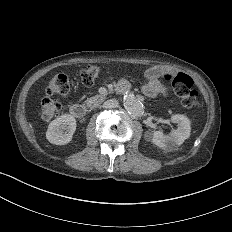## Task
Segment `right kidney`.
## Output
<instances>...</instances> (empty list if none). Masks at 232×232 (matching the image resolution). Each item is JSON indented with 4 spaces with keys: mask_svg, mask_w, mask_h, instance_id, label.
Returning <instances> with one entry per match:
<instances>
[{
    "mask_svg": "<svg viewBox=\"0 0 232 232\" xmlns=\"http://www.w3.org/2000/svg\"><path fill=\"white\" fill-rule=\"evenodd\" d=\"M75 130V118L72 115L64 114L49 124L46 138L52 144L64 145L72 140Z\"/></svg>",
    "mask_w": 232,
    "mask_h": 232,
    "instance_id": "ca27d5eb",
    "label": "right kidney"
}]
</instances>
